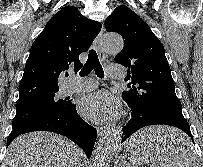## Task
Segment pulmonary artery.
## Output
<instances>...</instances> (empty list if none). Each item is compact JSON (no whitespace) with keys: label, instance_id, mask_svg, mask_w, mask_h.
<instances>
[{"label":"pulmonary artery","instance_id":"e3ab8cb5","mask_svg":"<svg viewBox=\"0 0 203 167\" xmlns=\"http://www.w3.org/2000/svg\"><path fill=\"white\" fill-rule=\"evenodd\" d=\"M107 74L111 78H120L125 74L123 66L118 64H112L107 66ZM96 87V82L92 79H81L77 76L71 77L66 85L67 92H77L83 90H89Z\"/></svg>","mask_w":203,"mask_h":167}]
</instances>
